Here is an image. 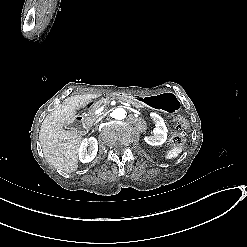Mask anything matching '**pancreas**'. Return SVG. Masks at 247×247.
Returning <instances> with one entry per match:
<instances>
[{
    "instance_id": "pancreas-1",
    "label": "pancreas",
    "mask_w": 247,
    "mask_h": 247,
    "mask_svg": "<svg viewBox=\"0 0 247 247\" xmlns=\"http://www.w3.org/2000/svg\"><path fill=\"white\" fill-rule=\"evenodd\" d=\"M107 101H109V98H105L103 101H101L100 103L95 104L94 106H92L89 110H88V116L92 119H96L97 115H95L94 110L99 108L100 105L105 104Z\"/></svg>"
}]
</instances>
